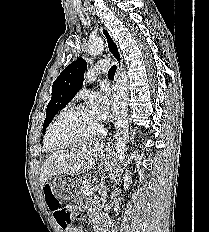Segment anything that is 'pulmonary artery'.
<instances>
[{"mask_svg": "<svg viewBox=\"0 0 209 232\" xmlns=\"http://www.w3.org/2000/svg\"><path fill=\"white\" fill-rule=\"evenodd\" d=\"M109 70V64L106 60H101L92 66L86 73L87 82H93L100 74L107 73Z\"/></svg>", "mask_w": 209, "mask_h": 232, "instance_id": "1", "label": "pulmonary artery"}]
</instances>
